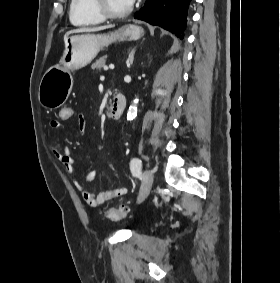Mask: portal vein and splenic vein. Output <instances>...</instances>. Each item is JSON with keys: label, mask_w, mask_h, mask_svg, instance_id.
<instances>
[{"label": "portal vein and splenic vein", "mask_w": 280, "mask_h": 283, "mask_svg": "<svg viewBox=\"0 0 280 283\" xmlns=\"http://www.w3.org/2000/svg\"><path fill=\"white\" fill-rule=\"evenodd\" d=\"M109 68H110V69H114L115 66H114L113 64H110V65H109ZM106 69H108V68H106Z\"/></svg>", "instance_id": "18ae733b"}]
</instances>
